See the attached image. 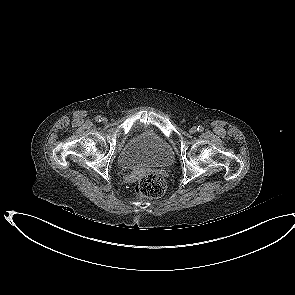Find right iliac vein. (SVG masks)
<instances>
[{
  "label": "right iliac vein",
  "mask_w": 295,
  "mask_h": 295,
  "mask_svg": "<svg viewBox=\"0 0 295 295\" xmlns=\"http://www.w3.org/2000/svg\"><path fill=\"white\" fill-rule=\"evenodd\" d=\"M102 122L106 123L107 119L106 118H102Z\"/></svg>",
  "instance_id": "63e3f726"
}]
</instances>
